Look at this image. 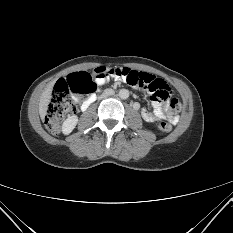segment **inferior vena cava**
Returning <instances> with one entry per match:
<instances>
[{
	"instance_id": "1",
	"label": "inferior vena cava",
	"mask_w": 233,
	"mask_h": 233,
	"mask_svg": "<svg viewBox=\"0 0 233 233\" xmlns=\"http://www.w3.org/2000/svg\"><path fill=\"white\" fill-rule=\"evenodd\" d=\"M115 90L114 89H109V88H107V89H105L104 90V92H103V94H102V97H105V96H107V97H109V96H114L115 95Z\"/></svg>"
}]
</instances>
